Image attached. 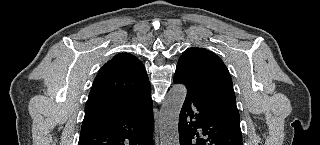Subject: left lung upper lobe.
I'll return each instance as SVG.
<instances>
[{"label":"left lung upper lobe","mask_w":320,"mask_h":145,"mask_svg":"<svg viewBox=\"0 0 320 145\" xmlns=\"http://www.w3.org/2000/svg\"><path fill=\"white\" fill-rule=\"evenodd\" d=\"M178 64L198 73L214 85V104L228 118L240 123L235 93L229 71L223 61L205 48H188L180 56Z\"/></svg>","instance_id":"1"}]
</instances>
